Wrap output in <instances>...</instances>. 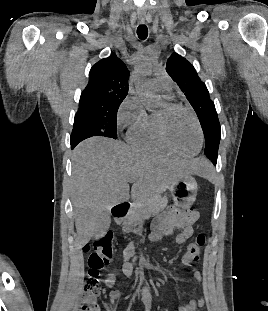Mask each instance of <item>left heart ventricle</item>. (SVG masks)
Here are the masks:
<instances>
[{
	"instance_id": "b2bd125f",
	"label": "left heart ventricle",
	"mask_w": 268,
	"mask_h": 311,
	"mask_svg": "<svg viewBox=\"0 0 268 311\" xmlns=\"http://www.w3.org/2000/svg\"><path fill=\"white\" fill-rule=\"evenodd\" d=\"M163 107L160 109L162 110ZM167 132L172 143L182 152L193 154L199 146V134L191 116L182 110H174L167 116Z\"/></svg>"
}]
</instances>
